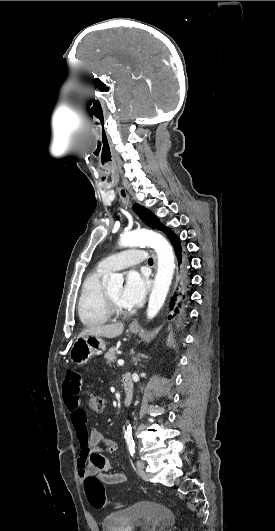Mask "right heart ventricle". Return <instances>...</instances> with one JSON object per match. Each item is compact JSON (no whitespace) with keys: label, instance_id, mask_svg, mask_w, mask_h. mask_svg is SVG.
<instances>
[{"label":"right heart ventricle","instance_id":"obj_1","mask_svg":"<svg viewBox=\"0 0 275 531\" xmlns=\"http://www.w3.org/2000/svg\"><path fill=\"white\" fill-rule=\"evenodd\" d=\"M103 271L89 273L82 281L78 296V314L86 326L103 325L110 319L101 283Z\"/></svg>","mask_w":275,"mask_h":531}]
</instances>
